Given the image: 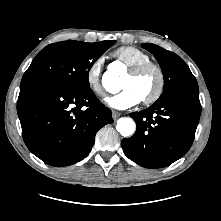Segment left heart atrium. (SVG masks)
I'll return each mask as SVG.
<instances>
[{
	"label": "left heart atrium",
	"mask_w": 221,
	"mask_h": 221,
	"mask_svg": "<svg viewBox=\"0 0 221 221\" xmlns=\"http://www.w3.org/2000/svg\"><path fill=\"white\" fill-rule=\"evenodd\" d=\"M141 100L133 88H123L119 93L108 97L106 102L115 109L124 110L139 104Z\"/></svg>",
	"instance_id": "39dd6f15"
}]
</instances>
